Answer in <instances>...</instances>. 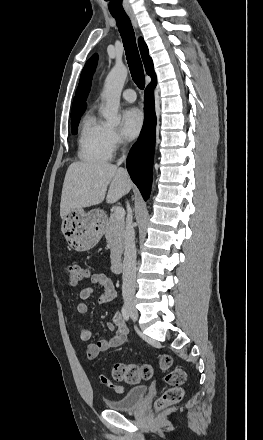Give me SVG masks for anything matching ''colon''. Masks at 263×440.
Here are the masks:
<instances>
[{
    "label": "colon",
    "mask_w": 263,
    "mask_h": 440,
    "mask_svg": "<svg viewBox=\"0 0 263 440\" xmlns=\"http://www.w3.org/2000/svg\"><path fill=\"white\" fill-rule=\"evenodd\" d=\"M65 273L72 286L81 285L88 276L87 270L78 264H67L65 266ZM160 367L165 372V382L169 385V388L156 400L155 407L157 409L180 402L183 398L181 385L185 382L184 371L181 368L172 366V359L169 355L161 356ZM153 373V367L149 364L119 362L114 364L112 369V376L115 380L128 384H137L149 380ZM100 381L103 385L117 392L122 391L121 386L114 384L105 376H101Z\"/></svg>",
    "instance_id": "colon-1"
}]
</instances>
